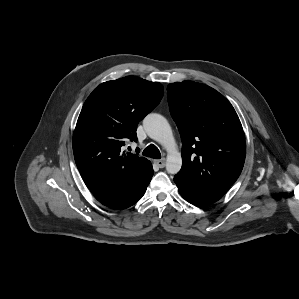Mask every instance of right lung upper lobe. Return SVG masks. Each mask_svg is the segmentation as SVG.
<instances>
[{
	"label": "right lung upper lobe",
	"mask_w": 299,
	"mask_h": 299,
	"mask_svg": "<svg viewBox=\"0 0 299 299\" xmlns=\"http://www.w3.org/2000/svg\"><path fill=\"white\" fill-rule=\"evenodd\" d=\"M163 97V86L138 77L100 84L89 95L73 134V153L91 192L106 194L139 187L153 174L144 157L121 151L137 141L138 123Z\"/></svg>",
	"instance_id": "1"
}]
</instances>
